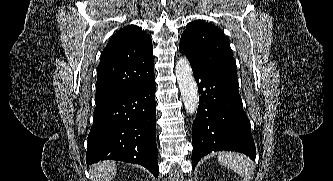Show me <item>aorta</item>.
Segmentation results:
<instances>
[{"instance_id":"1","label":"aorta","mask_w":333,"mask_h":181,"mask_svg":"<svg viewBox=\"0 0 333 181\" xmlns=\"http://www.w3.org/2000/svg\"><path fill=\"white\" fill-rule=\"evenodd\" d=\"M175 75L186 112L194 114L198 108V88L190 63L186 58L181 57L176 62Z\"/></svg>"}]
</instances>
